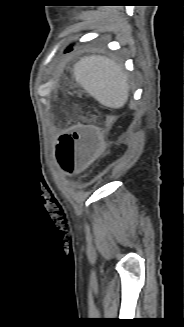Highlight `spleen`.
I'll return each mask as SVG.
<instances>
[{"mask_svg": "<svg viewBox=\"0 0 184 327\" xmlns=\"http://www.w3.org/2000/svg\"><path fill=\"white\" fill-rule=\"evenodd\" d=\"M77 81L99 103L110 108L124 106L129 84L121 65L102 56H86L74 66Z\"/></svg>", "mask_w": 184, "mask_h": 327, "instance_id": "obj_1", "label": "spleen"}]
</instances>
